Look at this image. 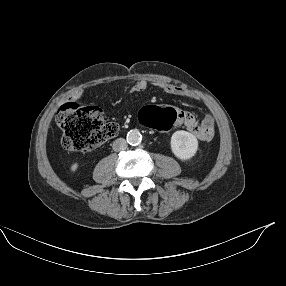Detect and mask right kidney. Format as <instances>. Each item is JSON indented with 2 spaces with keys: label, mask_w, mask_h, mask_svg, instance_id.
Returning <instances> with one entry per match:
<instances>
[{
  "label": "right kidney",
  "mask_w": 286,
  "mask_h": 286,
  "mask_svg": "<svg viewBox=\"0 0 286 286\" xmlns=\"http://www.w3.org/2000/svg\"><path fill=\"white\" fill-rule=\"evenodd\" d=\"M78 163H74V164H72V166H71V171L72 172H75L77 169H78Z\"/></svg>",
  "instance_id": "ca27d5eb"
}]
</instances>
